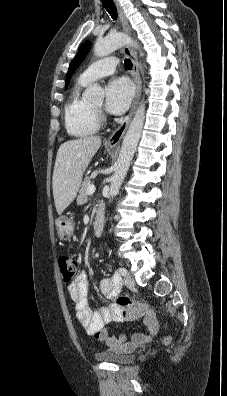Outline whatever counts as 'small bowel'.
Returning <instances> with one entry per match:
<instances>
[{
  "label": "small bowel",
  "mask_w": 227,
  "mask_h": 396,
  "mask_svg": "<svg viewBox=\"0 0 227 396\" xmlns=\"http://www.w3.org/2000/svg\"><path fill=\"white\" fill-rule=\"evenodd\" d=\"M101 295L110 302L92 311L88 304V283L85 271H80L68 290L75 305V313L86 331L96 339L104 341L111 349H121L149 341L156 335L159 324L154 312L145 303L118 304L124 296L120 295L121 285L112 277L103 278L98 284ZM142 319L147 333H135L130 341L124 336H109L106 325L111 322L136 321Z\"/></svg>",
  "instance_id": "obj_1"
}]
</instances>
